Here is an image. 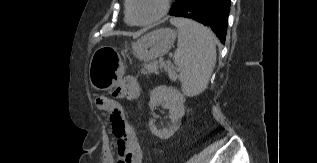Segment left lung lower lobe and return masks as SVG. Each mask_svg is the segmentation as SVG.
<instances>
[{
    "mask_svg": "<svg viewBox=\"0 0 317 163\" xmlns=\"http://www.w3.org/2000/svg\"><path fill=\"white\" fill-rule=\"evenodd\" d=\"M230 0H180L170 15L193 19L212 29L225 42Z\"/></svg>",
    "mask_w": 317,
    "mask_h": 163,
    "instance_id": "left-lung-lower-lobe-1",
    "label": "left lung lower lobe"
}]
</instances>
